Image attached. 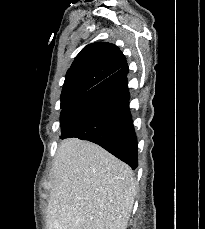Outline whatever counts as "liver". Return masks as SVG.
<instances>
[{"instance_id": "obj_1", "label": "liver", "mask_w": 205, "mask_h": 229, "mask_svg": "<svg viewBox=\"0 0 205 229\" xmlns=\"http://www.w3.org/2000/svg\"><path fill=\"white\" fill-rule=\"evenodd\" d=\"M48 229H126L136 195L131 168L91 142L63 140L52 170Z\"/></svg>"}]
</instances>
